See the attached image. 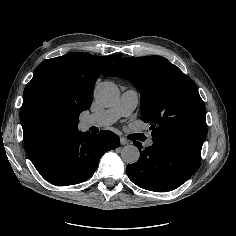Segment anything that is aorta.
<instances>
[{"instance_id": "762f6f07", "label": "aorta", "mask_w": 236, "mask_h": 236, "mask_svg": "<svg viewBox=\"0 0 236 236\" xmlns=\"http://www.w3.org/2000/svg\"><path fill=\"white\" fill-rule=\"evenodd\" d=\"M119 96V89L112 82H102L94 90L95 99L105 107L114 105L118 101ZM139 157V150L134 145H126L121 150V158L125 163H136Z\"/></svg>"}]
</instances>
